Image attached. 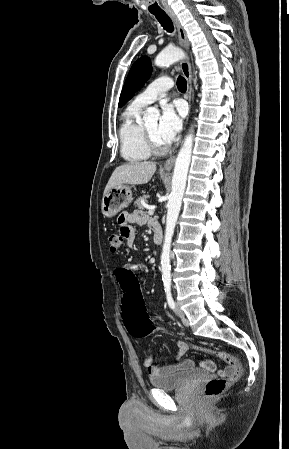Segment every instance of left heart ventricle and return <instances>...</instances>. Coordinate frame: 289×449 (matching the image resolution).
Returning <instances> with one entry per match:
<instances>
[{"mask_svg":"<svg viewBox=\"0 0 289 449\" xmlns=\"http://www.w3.org/2000/svg\"><path fill=\"white\" fill-rule=\"evenodd\" d=\"M146 128L148 129L149 133L151 134V136L153 137V139L162 146H165L167 144H165L162 139L160 138L159 134H158V120L155 119L149 123H147Z\"/></svg>","mask_w":289,"mask_h":449,"instance_id":"left-heart-ventricle-1","label":"left heart ventricle"}]
</instances>
